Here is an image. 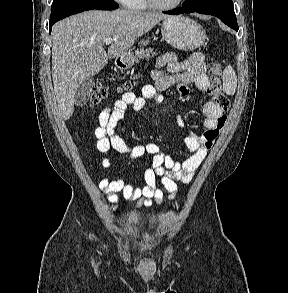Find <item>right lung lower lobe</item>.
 <instances>
[{
    "instance_id": "obj_1",
    "label": "right lung lower lobe",
    "mask_w": 288,
    "mask_h": 293,
    "mask_svg": "<svg viewBox=\"0 0 288 293\" xmlns=\"http://www.w3.org/2000/svg\"><path fill=\"white\" fill-rule=\"evenodd\" d=\"M86 10H92V9H82V10H78V11H75V12L70 13V14H68V15H65V16H63V17H61V18H58V19H55V20L49 21L50 33H51V28H52L53 24L56 23L57 21H59V20L65 18V17H67V16H70V15H72V14H76V13L83 12V11H86Z\"/></svg>"
}]
</instances>
